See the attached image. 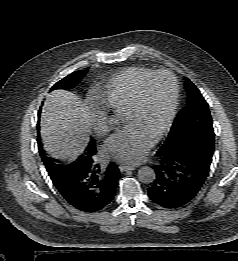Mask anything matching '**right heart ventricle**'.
Returning <instances> with one entry per match:
<instances>
[{
  "label": "right heart ventricle",
  "mask_w": 238,
  "mask_h": 261,
  "mask_svg": "<svg viewBox=\"0 0 238 261\" xmlns=\"http://www.w3.org/2000/svg\"><path fill=\"white\" fill-rule=\"evenodd\" d=\"M152 70L145 67H130L112 78L97 94V101L104 109L123 115L130 107L141 80Z\"/></svg>",
  "instance_id": "e07e8e85"
}]
</instances>
